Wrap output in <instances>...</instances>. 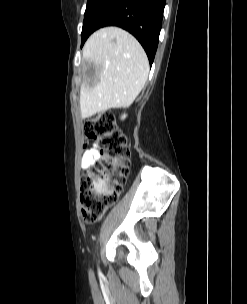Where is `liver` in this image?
Returning <instances> with one entry per match:
<instances>
[{
    "label": "liver",
    "instance_id": "obj_1",
    "mask_svg": "<svg viewBox=\"0 0 247 304\" xmlns=\"http://www.w3.org/2000/svg\"><path fill=\"white\" fill-rule=\"evenodd\" d=\"M82 58L97 68L99 82L83 84L80 110L83 119L108 109L130 106L147 80L149 63L139 42L118 27L93 33L83 47Z\"/></svg>",
    "mask_w": 247,
    "mask_h": 304
}]
</instances>
